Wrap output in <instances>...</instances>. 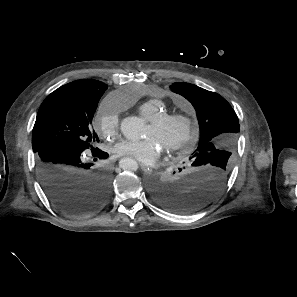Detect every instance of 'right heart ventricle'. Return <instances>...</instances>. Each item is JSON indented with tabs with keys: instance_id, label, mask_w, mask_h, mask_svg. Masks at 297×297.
<instances>
[{
	"instance_id": "obj_1",
	"label": "right heart ventricle",
	"mask_w": 297,
	"mask_h": 297,
	"mask_svg": "<svg viewBox=\"0 0 297 297\" xmlns=\"http://www.w3.org/2000/svg\"><path fill=\"white\" fill-rule=\"evenodd\" d=\"M138 110L148 121L167 112L166 104L160 98L146 100L139 106Z\"/></svg>"
}]
</instances>
